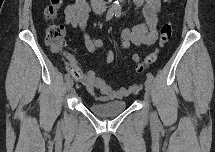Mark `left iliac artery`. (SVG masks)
Masks as SVG:
<instances>
[{"mask_svg": "<svg viewBox=\"0 0 215 152\" xmlns=\"http://www.w3.org/2000/svg\"><path fill=\"white\" fill-rule=\"evenodd\" d=\"M120 15H121V9H120V8H117L116 11H115V16L118 18V17H120ZM146 76H147V78L150 79L151 81L154 80V76L152 75V73L148 72V73L146 74Z\"/></svg>", "mask_w": 215, "mask_h": 152, "instance_id": "left-iliac-artery-1", "label": "left iliac artery"}]
</instances>
